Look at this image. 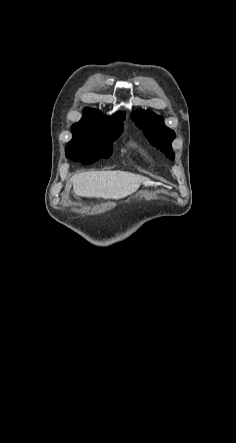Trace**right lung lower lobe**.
<instances>
[{
  "label": "right lung lower lobe",
  "mask_w": 236,
  "mask_h": 443,
  "mask_svg": "<svg viewBox=\"0 0 236 443\" xmlns=\"http://www.w3.org/2000/svg\"><path fill=\"white\" fill-rule=\"evenodd\" d=\"M112 151H105L96 147L77 146L66 149V157L83 164H92L101 158H108Z\"/></svg>",
  "instance_id": "1"
}]
</instances>
